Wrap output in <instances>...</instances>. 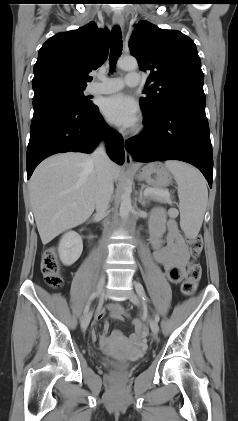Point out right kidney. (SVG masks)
<instances>
[{
	"instance_id": "ca27d5eb",
	"label": "right kidney",
	"mask_w": 238,
	"mask_h": 421,
	"mask_svg": "<svg viewBox=\"0 0 238 421\" xmlns=\"http://www.w3.org/2000/svg\"><path fill=\"white\" fill-rule=\"evenodd\" d=\"M83 251V242L79 234L74 231L66 232L59 243V257L66 266H71L80 257Z\"/></svg>"
}]
</instances>
